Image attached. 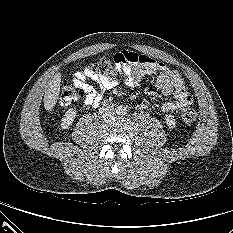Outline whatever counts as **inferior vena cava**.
Wrapping results in <instances>:
<instances>
[{"label": "inferior vena cava", "instance_id": "602c4592", "mask_svg": "<svg viewBox=\"0 0 233 233\" xmlns=\"http://www.w3.org/2000/svg\"><path fill=\"white\" fill-rule=\"evenodd\" d=\"M106 110V109H105ZM112 112H113V108L112 107H108L107 108V114L105 115L106 116H111L112 115ZM102 115H104V108H102L101 112H100Z\"/></svg>", "mask_w": 233, "mask_h": 233}]
</instances>
